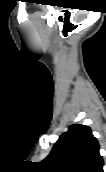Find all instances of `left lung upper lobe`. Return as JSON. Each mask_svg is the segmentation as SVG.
<instances>
[{"instance_id":"1","label":"left lung upper lobe","mask_w":106,"mask_h":172,"mask_svg":"<svg viewBox=\"0 0 106 172\" xmlns=\"http://www.w3.org/2000/svg\"><path fill=\"white\" fill-rule=\"evenodd\" d=\"M99 148L90 127L73 124L39 165L43 172H103Z\"/></svg>"}]
</instances>
